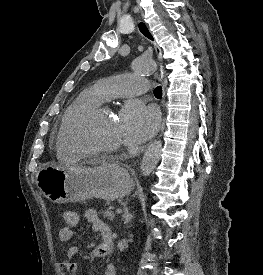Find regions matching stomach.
<instances>
[{
	"label": "stomach",
	"instance_id": "0dacf381",
	"mask_svg": "<svg viewBox=\"0 0 263 275\" xmlns=\"http://www.w3.org/2000/svg\"><path fill=\"white\" fill-rule=\"evenodd\" d=\"M36 184L53 203L81 202L100 198L107 202L128 195L133 187L129 172L117 163L86 166H47L36 176Z\"/></svg>",
	"mask_w": 263,
	"mask_h": 275
}]
</instances>
